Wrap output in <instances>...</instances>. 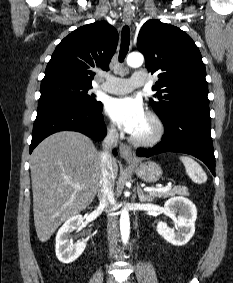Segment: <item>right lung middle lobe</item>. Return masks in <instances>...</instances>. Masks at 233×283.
Segmentation results:
<instances>
[{
	"instance_id": "1",
	"label": "right lung middle lobe",
	"mask_w": 233,
	"mask_h": 283,
	"mask_svg": "<svg viewBox=\"0 0 233 283\" xmlns=\"http://www.w3.org/2000/svg\"><path fill=\"white\" fill-rule=\"evenodd\" d=\"M91 86H83L65 80L41 82V96L38 106L48 103H61L88 110L97 109L102 103L95 100L88 90Z\"/></svg>"
}]
</instances>
